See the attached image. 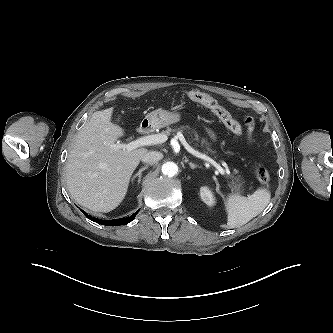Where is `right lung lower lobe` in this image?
<instances>
[{
    "label": "right lung lower lobe",
    "instance_id": "right-lung-lower-lobe-1",
    "mask_svg": "<svg viewBox=\"0 0 333 333\" xmlns=\"http://www.w3.org/2000/svg\"><path fill=\"white\" fill-rule=\"evenodd\" d=\"M82 212L84 213V215L88 219H90V220H92V221H94L98 224H103V225H107V226H120V225H124V224H127V223L131 222L135 218V216L137 215L139 210H137L134 214H132L129 217L114 219V220H101V219H97L95 217H92L91 215H88L84 211H82Z\"/></svg>",
    "mask_w": 333,
    "mask_h": 333
}]
</instances>
